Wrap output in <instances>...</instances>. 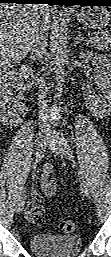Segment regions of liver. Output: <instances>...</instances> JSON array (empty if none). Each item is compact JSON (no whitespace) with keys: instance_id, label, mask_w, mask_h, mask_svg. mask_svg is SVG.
<instances>
[{"instance_id":"liver-1","label":"liver","mask_w":111,"mask_h":257,"mask_svg":"<svg viewBox=\"0 0 111 257\" xmlns=\"http://www.w3.org/2000/svg\"><path fill=\"white\" fill-rule=\"evenodd\" d=\"M39 24L49 28L47 5L1 4L0 68L6 71L22 61L30 50L32 36Z\"/></svg>"}]
</instances>
